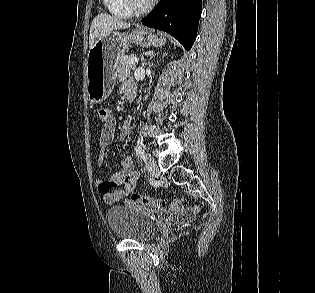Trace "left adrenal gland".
Instances as JSON below:
<instances>
[{"instance_id":"a2214340","label":"left adrenal gland","mask_w":315,"mask_h":293,"mask_svg":"<svg viewBox=\"0 0 315 293\" xmlns=\"http://www.w3.org/2000/svg\"><path fill=\"white\" fill-rule=\"evenodd\" d=\"M165 55H167V53H164V55H163V56H165ZM152 57H154V55H153Z\"/></svg>"}]
</instances>
